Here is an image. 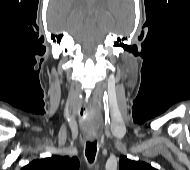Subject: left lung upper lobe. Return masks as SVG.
I'll return each mask as SVG.
<instances>
[{"instance_id": "left-lung-upper-lobe-1", "label": "left lung upper lobe", "mask_w": 190, "mask_h": 170, "mask_svg": "<svg viewBox=\"0 0 190 170\" xmlns=\"http://www.w3.org/2000/svg\"><path fill=\"white\" fill-rule=\"evenodd\" d=\"M119 170H156L151 165L141 161H133L122 156L119 162Z\"/></svg>"}]
</instances>
